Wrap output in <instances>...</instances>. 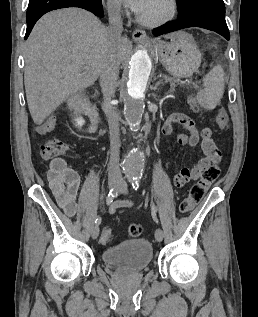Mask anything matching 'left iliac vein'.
<instances>
[{
  "instance_id": "1",
  "label": "left iliac vein",
  "mask_w": 258,
  "mask_h": 317,
  "mask_svg": "<svg viewBox=\"0 0 258 317\" xmlns=\"http://www.w3.org/2000/svg\"><path fill=\"white\" fill-rule=\"evenodd\" d=\"M119 183L120 184H118V194H125V192L127 193L128 191H127V188L129 187L128 185H127V183L125 182V180H124V178H119ZM155 239L157 240V241H162L163 239H164V236H163V232H162V230H161V228H156V230H155Z\"/></svg>"
}]
</instances>
